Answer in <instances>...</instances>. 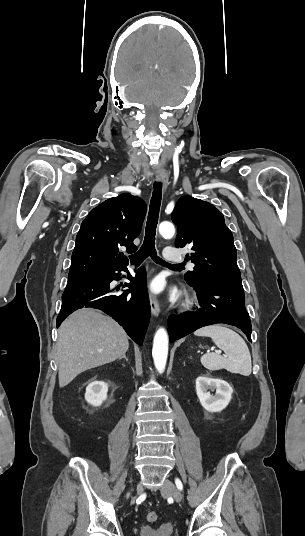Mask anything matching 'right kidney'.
Returning a JSON list of instances; mask_svg holds the SVG:
<instances>
[{
    "mask_svg": "<svg viewBox=\"0 0 305 536\" xmlns=\"http://www.w3.org/2000/svg\"><path fill=\"white\" fill-rule=\"evenodd\" d=\"M108 384L105 382H98L96 378H93L92 382L88 384L85 392V400L92 404V406H101L104 400L107 398Z\"/></svg>",
    "mask_w": 305,
    "mask_h": 536,
    "instance_id": "right-kidney-1",
    "label": "right kidney"
}]
</instances>
